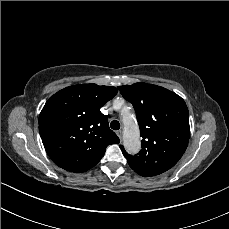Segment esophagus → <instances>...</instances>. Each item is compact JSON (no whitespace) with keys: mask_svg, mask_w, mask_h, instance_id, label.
<instances>
[{"mask_svg":"<svg viewBox=\"0 0 229 229\" xmlns=\"http://www.w3.org/2000/svg\"><path fill=\"white\" fill-rule=\"evenodd\" d=\"M116 134H117V136L120 138V140L122 139V137H123V132H122V130L120 129V130H118V131H116Z\"/></svg>","mask_w":229,"mask_h":229,"instance_id":"34e87169","label":"esophagus"}]
</instances>
